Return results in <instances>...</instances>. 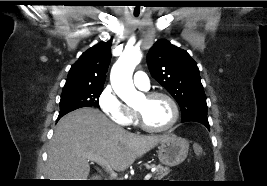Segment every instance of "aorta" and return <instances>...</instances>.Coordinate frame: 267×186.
<instances>
[{"label":"aorta","instance_id":"aorta-1","mask_svg":"<svg viewBox=\"0 0 267 186\" xmlns=\"http://www.w3.org/2000/svg\"><path fill=\"white\" fill-rule=\"evenodd\" d=\"M142 53L133 48L125 50L113 65L110 80L116 94L127 104L138 101L141 93L133 84L132 75L135 67L140 63Z\"/></svg>","mask_w":267,"mask_h":186}]
</instances>
